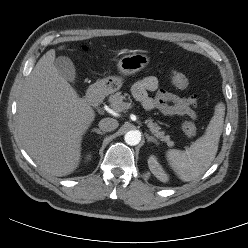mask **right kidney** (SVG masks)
Instances as JSON below:
<instances>
[{
    "label": "right kidney",
    "instance_id": "1",
    "mask_svg": "<svg viewBox=\"0 0 248 248\" xmlns=\"http://www.w3.org/2000/svg\"><path fill=\"white\" fill-rule=\"evenodd\" d=\"M87 161L91 159V155H87L86 157Z\"/></svg>",
    "mask_w": 248,
    "mask_h": 248
}]
</instances>
